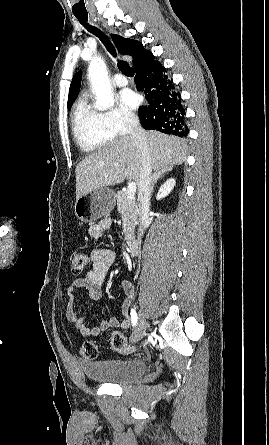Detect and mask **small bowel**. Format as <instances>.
Segmentation results:
<instances>
[{
    "label": "small bowel",
    "instance_id": "obj_1",
    "mask_svg": "<svg viewBox=\"0 0 269 445\" xmlns=\"http://www.w3.org/2000/svg\"><path fill=\"white\" fill-rule=\"evenodd\" d=\"M109 226L110 221L103 219L90 226L89 234L93 238H100ZM114 261L115 253L112 250L108 248L94 249L90 254L91 269L87 271L83 277L74 279L67 289L68 303L66 318L84 337L97 336L110 328H128L130 325L129 308L133 298L134 288L129 281L124 280L122 282L125 299L121 306L122 319L120 320L112 317L103 320L98 326L88 327L85 323V318L78 312L75 305L74 292L76 290L85 291L92 300L99 299L102 284Z\"/></svg>",
    "mask_w": 269,
    "mask_h": 445
}]
</instances>
